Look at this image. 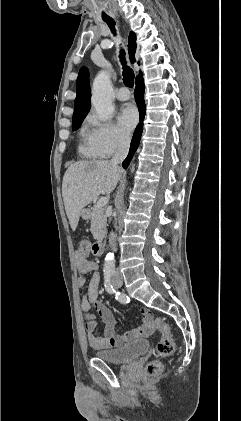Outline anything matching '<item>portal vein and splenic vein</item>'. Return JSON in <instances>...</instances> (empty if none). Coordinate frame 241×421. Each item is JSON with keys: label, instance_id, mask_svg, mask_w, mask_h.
Instances as JSON below:
<instances>
[{"label": "portal vein and splenic vein", "instance_id": "1", "mask_svg": "<svg viewBox=\"0 0 241 421\" xmlns=\"http://www.w3.org/2000/svg\"><path fill=\"white\" fill-rule=\"evenodd\" d=\"M108 204V198L106 197H101L98 201H97V207H105Z\"/></svg>", "mask_w": 241, "mask_h": 421}]
</instances>
